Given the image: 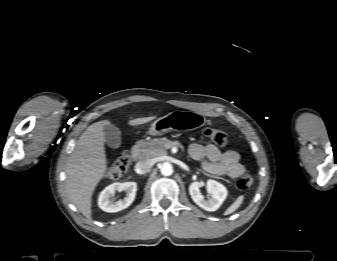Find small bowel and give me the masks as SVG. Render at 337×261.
I'll return each mask as SVG.
<instances>
[{"mask_svg":"<svg viewBox=\"0 0 337 261\" xmlns=\"http://www.w3.org/2000/svg\"><path fill=\"white\" fill-rule=\"evenodd\" d=\"M188 151L190 157L199 161L208 174L237 178L245 171L239 154L234 150L222 152L213 144L194 143Z\"/></svg>","mask_w":337,"mask_h":261,"instance_id":"1","label":"small bowel"}]
</instances>
